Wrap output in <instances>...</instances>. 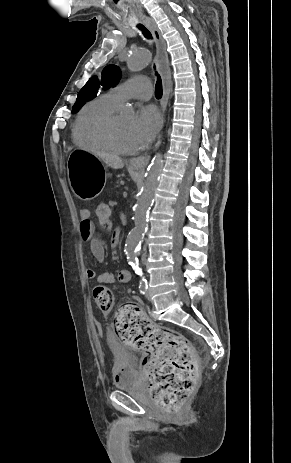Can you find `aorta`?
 Instances as JSON below:
<instances>
[{
    "label": "aorta",
    "instance_id": "obj_1",
    "mask_svg": "<svg viewBox=\"0 0 291 463\" xmlns=\"http://www.w3.org/2000/svg\"><path fill=\"white\" fill-rule=\"evenodd\" d=\"M151 63V54L148 50L131 53L127 58V67L131 72H138ZM163 167L162 154L157 153L148 166L140 196L134 210V228L129 232L125 253L127 261L138 271L137 250L147 229V217L153 203L159 177Z\"/></svg>",
    "mask_w": 291,
    "mask_h": 463
}]
</instances>
